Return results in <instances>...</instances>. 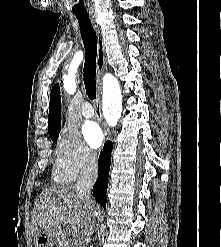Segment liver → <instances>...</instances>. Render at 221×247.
I'll return each mask as SVG.
<instances>
[{
	"mask_svg": "<svg viewBox=\"0 0 221 247\" xmlns=\"http://www.w3.org/2000/svg\"><path fill=\"white\" fill-rule=\"evenodd\" d=\"M94 211L98 207L94 203ZM61 224L74 237L87 232L86 207L75 186H52L44 189L36 200L31 218V235L54 231Z\"/></svg>",
	"mask_w": 221,
	"mask_h": 247,
	"instance_id": "1",
	"label": "liver"
}]
</instances>
